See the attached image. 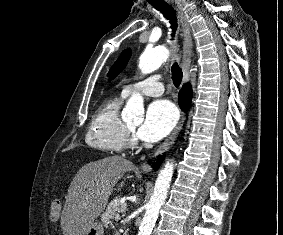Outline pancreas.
<instances>
[{"instance_id":"pancreas-1","label":"pancreas","mask_w":283,"mask_h":235,"mask_svg":"<svg viewBox=\"0 0 283 235\" xmlns=\"http://www.w3.org/2000/svg\"><path fill=\"white\" fill-rule=\"evenodd\" d=\"M126 209V206L124 203H121V197L114 198L108 205L106 211L101 216V221L105 225V227H108V225H113L112 220L115 218L118 213L123 212ZM116 235H119L116 234Z\"/></svg>"}]
</instances>
